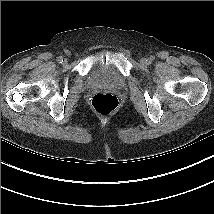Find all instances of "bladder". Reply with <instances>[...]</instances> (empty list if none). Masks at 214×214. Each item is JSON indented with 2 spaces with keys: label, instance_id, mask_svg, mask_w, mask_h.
<instances>
[{
  "label": "bladder",
  "instance_id": "obj_1",
  "mask_svg": "<svg viewBox=\"0 0 214 214\" xmlns=\"http://www.w3.org/2000/svg\"><path fill=\"white\" fill-rule=\"evenodd\" d=\"M85 82L89 87H94L99 84H107L118 88L123 85L124 80L113 67L97 66L89 72Z\"/></svg>",
  "mask_w": 214,
  "mask_h": 214
}]
</instances>
